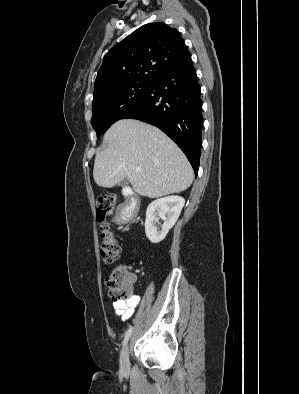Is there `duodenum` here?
Here are the masks:
<instances>
[{"instance_id": "1", "label": "duodenum", "mask_w": 299, "mask_h": 394, "mask_svg": "<svg viewBox=\"0 0 299 394\" xmlns=\"http://www.w3.org/2000/svg\"><path fill=\"white\" fill-rule=\"evenodd\" d=\"M126 201L121 207V219L123 221L133 220L140 207L137 197L130 191L125 192Z\"/></svg>"}]
</instances>
